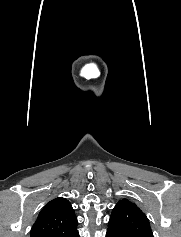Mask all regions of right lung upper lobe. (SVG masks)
<instances>
[{
    "label": "right lung upper lobe",
    "instance_id": "1",
    "mask_svg": "<svg viewBox=\"0 0 181 237\" xmlns=\"http://www.w3.org/2000/svg\"><path fill=\"white\" fill-rule=\"evenodd\" d=\"M77 223L70 202L58 197L40 211L30 237H75L78 233Z\"/></svg>",
    "mask_w": 181,
    "mask_h": 237
}]
</instances>
